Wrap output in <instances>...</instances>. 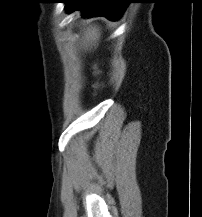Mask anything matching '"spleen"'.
<instances>
[{"instance_id": "spleen-1", "label": "spleen", "mask_w": 202, "mask_h": 217, "mask_svg": "<svg viewBox=\"0 0 202 217\" xmlns=\"http://www.w3.org/2000/svg\"><path fill=\"white\" fill-rule=\"evenodd\" d=\"M100 37L99 29L94 25L87 27V30L84 33V38L88 43H92L98 40Z\"/></svg>"}]
</instances>
